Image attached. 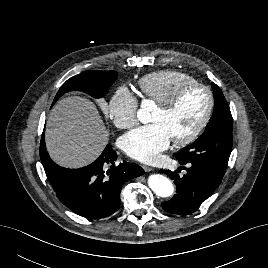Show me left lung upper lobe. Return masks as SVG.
I'll return each mask as SVG.
<instances>
[{
	"instance_id": "left-lung-upper-lobe-1",
	"label": "left lung upper lobe",
	"mask_w": 268,
	"mask_h": 268,
	"mask_svg": "<svg viewBox=\"0 0 268 268\" xmlns=\"http://www.w3.org/2000/svg\"><path fill=\"white\" fill-rule=\"evenodd\" d=\"M214 113L204 133L190 146L176 153L180 164L197 163L225 173L232 150V115L220 88L212 83Z\"/></svg>"
}]
</instances>
